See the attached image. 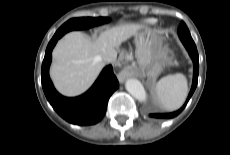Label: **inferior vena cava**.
<instances>
[{"label": "inferior vena cava", "mask_w": 230, "mask_h": 155, "mask_svg": "<svg viewBox=\"0 0 230 155\" xmlns=\"http://www.w3.org/2000/svg\"><path fill=\"white\" fill-rule=\"evenodd\" d=\"M116 58H117V52L116 50H114L110 54H108L104 60L107 63H113L116 60Z\"/></svg>", "instance_id": "obj_1"}]
</instances>
